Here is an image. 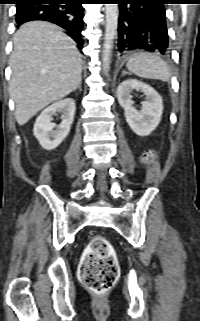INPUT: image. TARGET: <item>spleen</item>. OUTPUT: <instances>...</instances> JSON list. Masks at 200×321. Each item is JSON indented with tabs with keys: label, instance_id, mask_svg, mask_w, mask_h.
<instances>
[{
	"label": "spleen",
	"instance_id": "1",
	"mask_svg": "<svg viewBox=\"0 0 200 321\" xmlns=\"http://www.w3.org/2000/svg\"><path fill=\"white\" fill-rule=\"evenodd\" d=\"M127 69L141 78L169 81L171 77L167 63L158 55L139 53L133 55L126 64Z\"/></svg>",
	"mask_w": 200,
	"mask_h": 321
}]
</instances>
